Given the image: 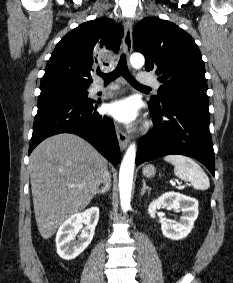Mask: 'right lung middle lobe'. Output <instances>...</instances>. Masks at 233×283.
Segmentation results:
<instances>
[{"label":"right lung middle lobe","instance_id":"right-lung-middle-lobe-1","mask_svg":"<svg viewBox=\"0 0 233 283\" xmlns=\"http://www.w3.org/2000/svg\"><path fill=\"white\" fill-rule=\"evenodd\" d=\"M89 86L79 85L66 80H50L40 84L41 94L44 93H67L82 97H87Z\"/></svg>","mask_w":233,"mask_h":283}]
</instances>
